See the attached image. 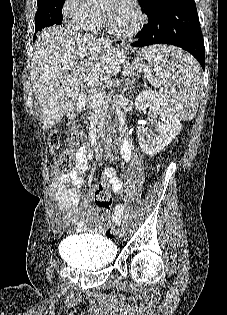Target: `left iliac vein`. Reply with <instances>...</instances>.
<instances>
[{
    "label": "left iliac vein",
    "instance_id": "left-iliac-vein-1",
    "mask_svg": "<svg viewBox=\"0 0 227 315\" xmlns=\"http://www.w3.org/2000/svg\"><path fill=\"white\" fill-rule=\"evenodd\" d=\"M126 231H127L126 226H123L120 230V236L124 237L126 235Z\"/></svg>",
    "mask_w": 227,
    "mask_h": 315
}]
</instances>
